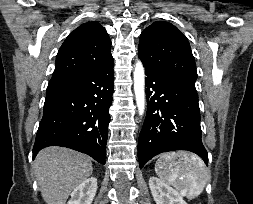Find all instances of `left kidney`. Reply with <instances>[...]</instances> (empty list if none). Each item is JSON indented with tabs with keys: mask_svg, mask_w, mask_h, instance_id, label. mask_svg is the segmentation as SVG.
<instances>
[{
	"mask_svg": "<svg viewBox=\"0 0 253 204\" xmlns=\"http://www.w3.org/2000/svg\"><path fill=\"white\" fill-rule=\"evenodd\" d=\"M149 187L156 204H187L178 191L157 177L149 178Z\"/></svg>",
	"mask_w": 253,
	"mask_h": 204,
	"instance_id": "left-kidney-1",
	"label": "left kidney"
}]
</instances>
